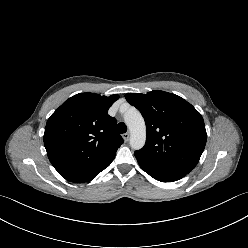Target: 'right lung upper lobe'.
I'll return each mask as SVG.
<instances>
[{"mask_svg":"<svg viewBox=\"0 0 248 248\" xmlns=\"http://www.w3.org/2000/svg\"><path fill=\"white\" fill-rule=\"evenodd\" d=\"M119 98L80 93L66 100L47 121L44 145L55 166H86L113 154L123 144L108 109Z\"/></svg>","mask_w":248,"mask_h":248,"instance_id":"obj_1","label":"right lung upper lobe"}]
</instances>
